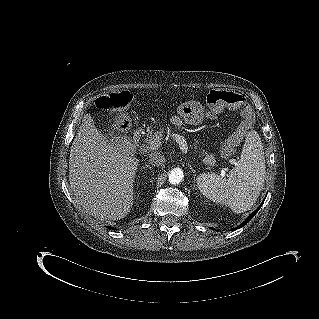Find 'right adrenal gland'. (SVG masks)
Listing matches in <instances>:
<instances>
[{
	"instance_id": "1",
	"label": "right adrenal gland",
	"mask_w": 319,
	"mask_h": 319,
	"mask_svg": "<svg viewBox=\"0 0 319 319\" xmlns=\"http://www.w3.org/2000/svg\"><path fill=\"white\" fill-rule=\"evenodd\" d=\"M142 168H143V169H144V168H151V166L148 165V164H145V166H142Z\"/></svg>"
}]
</instances>
